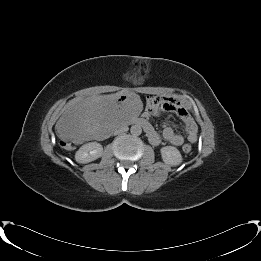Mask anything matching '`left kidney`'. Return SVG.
Instances as JSON below:
<instances>
[{
	"instance_id": "5707ae66",
	"label": "left kidney",
	"mask_w": 261,
	"mask_h": 261,
	"mask_svg": "<svg viewBox=\"0 0 261 261\" xmlns=\"http://www.w3.org/2000/svg\"><path fill=\"white\" fill-rule=\"evenodd\" d=\"M161 157L165 164L170 166H178L182 163V155L174 146H165L160 149Z\"/></svg>"
}]
</instances>
